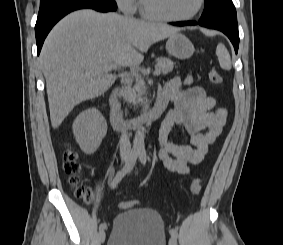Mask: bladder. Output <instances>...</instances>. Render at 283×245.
Masks as SVG:
<instances>
[{
    "mask_svg": "<svg viewBox=\"0 0 283 245\" xmlns=\"http://www.w3.org/2000/svg\"><path fill=\"white\" fill-rule=\"evenodd\" d=\"M107 245H166V231L158 212L130 207L118 214Z\"/></svg>",
    "mask_w": 283,
    "mask_h": 245,
    "instance_id": "1",
    "label": "bladder"
}]
</instances>
